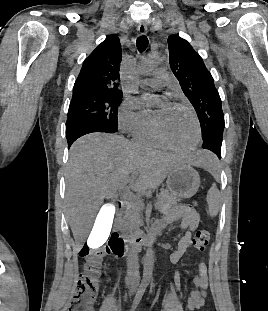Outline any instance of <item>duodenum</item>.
<instances>
[{
	"label": "duodenum",
	"instance_id": "duodenum-1",
	"mask_svg": "<svg viewBox=\"0 0 268 311\" xmlns=\"http://www.w3.org/2000/svg\"><path fill=\"white\" fill-rule=\"evenodd\" d=\"M159 232L160 231L152 230L148 233L139 234L131 238H125L117 230H114L109 237L108 247L113 254L121 257L132 251H136L142 247L153 244Z\"/></svg>",
	"mask_w": 268,
	"mask_h": 311
}]
</instances>
